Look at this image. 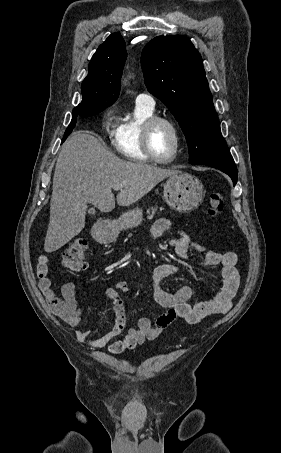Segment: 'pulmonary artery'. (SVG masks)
I'll list each match as a JSON object with an SVG mask.
<instances>
[{"label": "pulmonary artery", "instance_id": "obj_1", "mask_svg": "<svg viewBox=\"0 0 281 453\" xmlns=\"http://www.w3.org/2000/svg\"><path fill=\"white\" fill-rule=\"evenodd\" d=\"M137 100L138 101H142V102H147L148 105H153V101L151 99V97L147 94H139L137 96Z\"/></svg>", "mask_w": 281, "mask_h": 453}]
</instances>
